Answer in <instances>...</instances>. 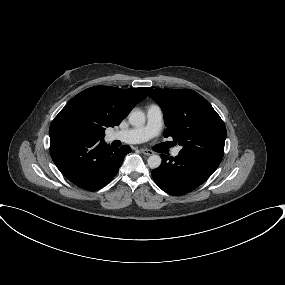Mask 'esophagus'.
Wrapping results in <instances>:
<instances>
[{
	"label": "esophagus",
	"instance_id": "obj_1",
	"mask_svg": "<svg viewBox=\"0 0 285 285\" xmlns=\"http://www.w3.org/2000/svg\"><path fill=\"white\" fill-rule=\"evenodd\" d=\"M141 152L146 156H150L153 154V151L148 150V149H141Z\"/></svg>",
	"mask_w": 285,
	"mask_h": 285
}]
</instances>
